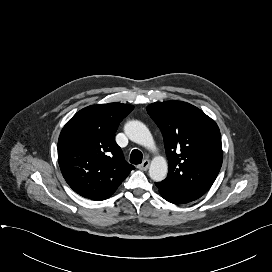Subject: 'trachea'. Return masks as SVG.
I'll return each instance as SVG.
<instances>
[{
    "instance_id": "1",
    "label": "trachea",
    "mask_w": 272,
    "mask_h": 272,
    "mask_svg": "<svg viewBox=\"0 0 272 272\" xmlns=\"http://www.w3.org/2000/svg\"><path fill=\"white\" fill-rule=\"evenodd\" d=\"M142 159H143V154L141 151H139L138 149H134L132 152H131V155H130V162L132 164H140L142 162Z\"/></svg>"
}]
</instances>
